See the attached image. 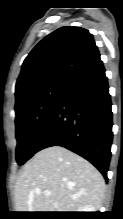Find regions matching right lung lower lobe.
Returning a JSON list of instances; mask_svg holds the SVG:
<instances>
[{
  "label": "right lung lower lobe",
  "instance_id": "1",
  "mask_svg": "<svg viewBox=\"0 0 123 219\" xmlns=\"http://www.w3.org/2000/svg\"><path fill=\"white\" fill-rule=\"evenodd\" d=\"M112 125L109 87L99 58L66 83L36 151L65 147L91 162L107 179Z\"/></svg>",
  "mask_w": 123,
  "mask_h": 219
}]
</instances>
